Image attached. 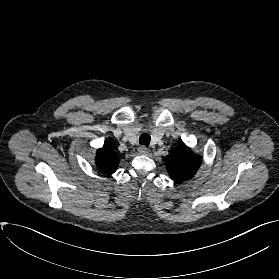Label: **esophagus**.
I'll list each match as a JSON object with an SVG mask.
<instances>
[{
    "label": "esophagus",
    "instance_id": "esophagus-1",
    "mask_svg": "<svg viewBox=\"0 0 279 279\" xmlns=\"http://www.w3.org/2000/svg\"><path fill=\"white\" fill-rule=\"evenodd\" d=\"M138 152L141 155H148L149 154V149L147 147H145V146H140L138 148Z\"/></svg>",
    "mask_w": 279,
    "mask_h": 279
}]
</instances>
